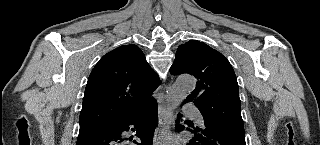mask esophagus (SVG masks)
<instances>
[{"mask_svg":"<svg viewBox=\"0 0 320 145\" xmlns=\"http://www.w3.org/2000/svg\"><path fill=\"white\" fill-rule=\"evenodd\" d=\"M170 111L166 103L165 97L161 99L158 108V126L155 129L153 144L164 145V141L169 130Z\"/></svg>","mask_w":320,"mask_h":145,"instance_id":"obj_1","label":"esophagus"}]
</instances>
